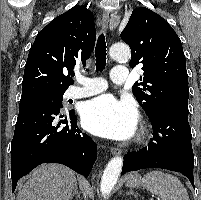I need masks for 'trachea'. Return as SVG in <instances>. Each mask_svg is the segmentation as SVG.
Masks as SVG:
<instances>
[{"mask_svg": "<svg viewBox=\"0 0 201 200\" xmlns=\"http://www.w3.org/2000/svg\"><path fill=\"white\" fill-rule=\"evenodd\" d=\"M106 42L104 34H100L95 48L96 72L104 69L106 65Z\"/></svg>", "mask_w": 201, "mask_h": 200, "instance_id": "obj_1", "label": "trachea"}]
</instances>
